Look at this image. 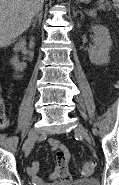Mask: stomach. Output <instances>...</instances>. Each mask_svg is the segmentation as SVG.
<instances>
[{
  "label": "stomach",
  "mask_w": 119,
  "mask_h": 185,
  "mask_svg": "<svg viewBox=\"0 0 119 185\" xmlns=\"http://www.w3.org/2000/svg\"><path fill=\"white\" fill-rule=\"evenodd\" d=\"M81 2H84V3H88L90 2L91 0H80Z\"/></svg>",
  "instance_id": "0dacf381"
}]
</instances>
